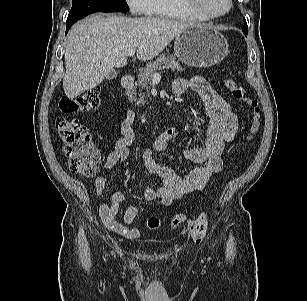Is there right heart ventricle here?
Returning a JSON list of instances; mask_svg holds the SVG:
<instances>
[{"label": "right heart ventricle", "instance_id": "right-heart-ventricle-1", "mask_svg": "<svg viewBox=\"0 0 307 301\" xmlns=\"http://www.w3.org/2000/svg\"><path fill=\"white\" fill-rule=\"evenodd\" d=\"M149 16L160 19H175L181 21L202 22L209 21L189 11L181 0H152Z\"/></svg>", "mask_w": 307, "mask_h": 301}]
</instances>
